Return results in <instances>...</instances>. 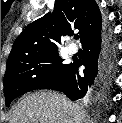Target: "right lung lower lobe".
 <instances>
[{"mask_svg":"<svg viewBox=\"0 0 122 123\" xmlns=\"http://www.w3.org/2000/svg\"><path fill=\"white\" fill-rule=\"evenodd\" d=\"M83 60L71 63L68 70L40 89H52L63 92L71 100L86 95L102 97L112 82L114 47L101 37V29L91 34L83 42ZM84 65V75L78 69Z\"/></svg>","mask_w":122,"mask_h":123,"instance_id":"1","label":"right lung lower lobe"}]
</instances>
